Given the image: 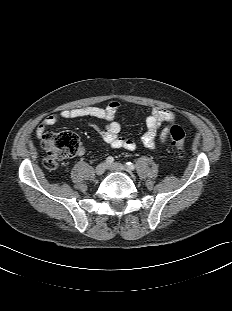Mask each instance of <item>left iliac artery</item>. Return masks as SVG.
<instances>
[{
  "label": "left iliac artery",
  "instance_id": "obj_1",
  "mask_svg": "<svg viewBox=\"0 0 232 311\" xmlns=\"http://www.w3.org/2000/svg\"><path fill=\"white\" fill-rule=\"evenodd\" d=\"M125 166H126V168H127L128 170H131V171L135 169L134 164L131 163V162L125 163Z\"/></svg>",
  "mask_w": 232,
  "mask_h": 311
}]
</instances>
